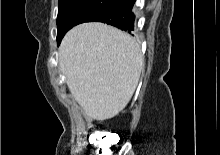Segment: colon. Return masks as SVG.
Segmentation results:
<instances>
[{
	"mask_svg": "<svg viewBox=\"0 0 220 155\" xmlns=\"http://www.w3.org/2000/svg\"><path fill=\"white\" fill-rule=\"evenodd\" d=\"M100 143H94L91 146V151H96L99 148V152L96 155H111L110 149L113 146L112 138L110 135L102 134L98 137Z\"/></svg>",
	"mask_w": 220,
	"mask_h": 155,
	"instance_id": "1",
	"label": "colon"
}]
</instances>
